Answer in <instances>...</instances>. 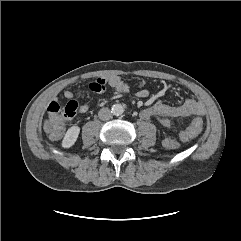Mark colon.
Instances as JSON below:
<instances>
[{"mask_svg": "<svg viewBox=\"0 0 241 241\" xmlns=\"http://www.w3.org/2000/svg\"><path fill=\"white\" fill-rule=\"evenodd\" d=\"M91 91L102 93L105 91V80L98 78L89 84ZM78 109V103L74 100L69 101L65 106L58 102H51L47 108V119L44 122V130L53 139L59 138L64 130L66 121L72 118ZM154 118L164 127L170 128L171 120L162 116L155 115ZM203 128V122L200 118L192 120L190 126L182 132L187 138H194L200 134ZM164 145L169 149H178L180 144L173 138L164 141Z\"/></svg>", "mask_w": 241, "mask_h": 241, "instance_id": "5ec220e1", "label": "colon"}]
</instances>
